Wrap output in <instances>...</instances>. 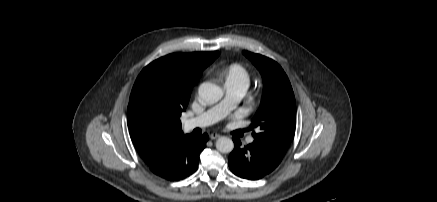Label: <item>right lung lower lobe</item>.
<instances>
[{
	"label": "right lung lower lobe",
	"mask_w": 437,
	"mask_h": 202,
	"mask_svg": "<svg viewBox=\"0 0 437 202\" xmlns=\"http://www.w3.org/2000/svg\"><path fill=\"white\" fill-rule=\"evenodd\" d=\"M208 135L182 136L172 147L161 154L153 163L150 170L156 175L178 181L193 174L198 168L199 154L206 147Z\"/></svg>",
	"instance_id": "1"
}]
</instances>
